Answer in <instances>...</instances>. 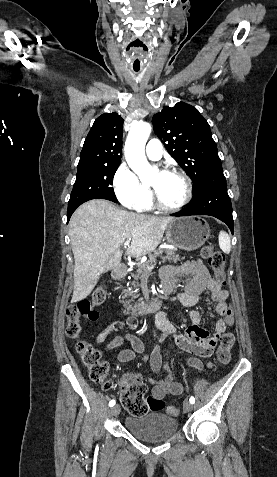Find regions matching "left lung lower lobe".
Returning <instances> with one entry per match:
<instances>
[{"label":"left lung lower lobe","instance_id":"left-lung-lower-lobe-1","mask_svg":"<svg viewBox=\"0 0 277 477\" xmlns=\"http://www.w3.org/2000/svg\"><path fill=\"white\" fill-rule=\"evenodd\" d=\"M210 215L225 222L233 233L232 205L222 169L208 173L195 189L192 203L172 216Z\"/></svg>","mask_w":277,"mask_h":477}]
</instances>
